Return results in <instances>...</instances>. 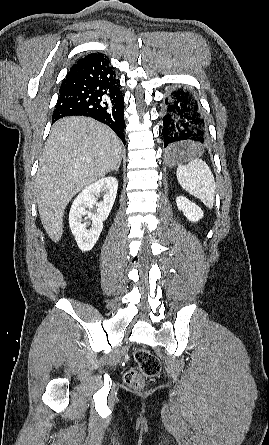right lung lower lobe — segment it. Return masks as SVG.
I'll list each match as a JSON object with an SVG mask.
<instances>
[{
	"label": "right lung lower lobe",
	"instance_id": "98d812e1",
	"mask_svg": "<svg viewBox=\"0 0 269 445\" xmlns=\"http://www.w3.org/2000/svg\"><path fill=\"white\" fill-rule=\"evenodd\" d=\"M78 115L108 125L125 144L124 98L120 81L101 53L75 64L61 84L53 122Z\"/></svg>",
	"mask_w": 269,
	"mask_h": 445
}]
</instances>
